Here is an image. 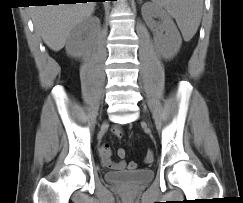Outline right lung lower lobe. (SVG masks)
<instances>
[{
    "label": "right lung lower lobe",
    "mask_w": 243,
    "mask_h": 203,
    "mask_svg": "<svg viewBox=\"0 0 243 203\" xmlns=\"http://www.w3.org/2000/svg\"><path fill=\"white\" fill-rule=\"evenodd\" d=\"M43 1H49V0H40L39 3L44 4L45 2H43ZM60 1H62V2H58V3H69L70 4V3H77V1H85V0H60ZM93 1L99 2V1H105V0H93ZM111 1H113V0H111ZM39 3H38V5L41 6V4H39ZM54 4H57V3H54Z\"/></svg>",
    "instance_id": "1"
}]
</instances>
